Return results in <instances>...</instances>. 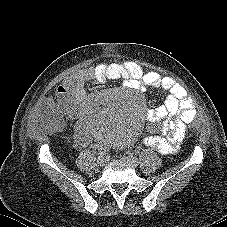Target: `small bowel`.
Listing matches in <instances>:
<instances>
[{
    "label": "small bowel",
    "mask_w": 227,
    "mask_h": 227,
    "mask_svg": "<svg viewBox=\"0 0 227 227\" xmlns=\"http://www.w3.org/2000/svg\"><path fill=\"white\" fill-rule=\"evenodd\" d=\"M114 79H122L126 86L136 90L152 86L166 92L164 103L147 112L146 118L154 124V133L146 136L143 143L162 154L176 153L184 139L181 128L195 117V104L173 78L155 71L145 72L134 62L99 64L69 75L57 88L55 97L46 100L44 109L51 111L56 104L75 109L86 98L87 83L101 84Z\"/></svg>",
    "instance_id": "c3829d8e"
}]
</instances>
